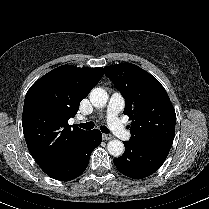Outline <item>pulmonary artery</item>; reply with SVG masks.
Listing matches in <instances>:
<instances>
[{"label": "pulmonary artery", "instance_id": "obj_1", "mask_svg": "<svg viewBox=\"0 0 209 209\" xmlns=\"http://www.w3.org/2000/svg\"><path fill=\"white\" fill-rule=\"evenodd\" d=\"M123 108L124 98L119 93H113L109 99L106 111V119L110 130L118 138L128 141L131 139L132 133L124 127L123 123L118 117Z\"/></svg>", "mask_w": 209, "mask_h": 209}]
</instances>
